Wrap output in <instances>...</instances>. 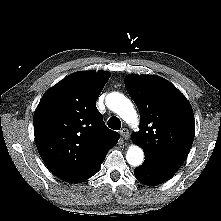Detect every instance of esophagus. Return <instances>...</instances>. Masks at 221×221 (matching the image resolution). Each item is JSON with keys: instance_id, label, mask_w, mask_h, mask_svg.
Wrapping results in <instances>:
<instances>
[{"instance_id": "esophagus-1", "label": "esophagus", "mask_w": 221, "mask_h": 221, "mask_svg": "<svg viewBox=\"0 0 221 221\" xmlns=\"http://www.w3.org/2000/svg\"><path fill=\"white\" fill-rule=\"evenodd\" d=\"M120 134L122 136L123 139L127 140L129 138V130L127 128H122L120 130Z\"/></svg>"}]
</instances>
